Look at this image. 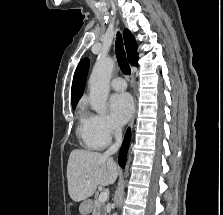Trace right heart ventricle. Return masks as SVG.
Here are the masks:
<instances>
[{
  "instance_id": "e07e8e85",
  "label": "right heart ventricle",
  "mask_w": 223,
  "mask_h": 215,
  "mask_svg": "<svg viewBox=\"0 0 223 215\" xmlns=\"http://www.w3.org/2000/svg\"><path fill=\"white\" fill-rule=\"evenodd\" d=\"M89 116L84 107L78 112V128L77 133L88 149L100 150L105 147L106 143L101 141L93 132L89 123Z\"/></svg>"
}]
</instances>
